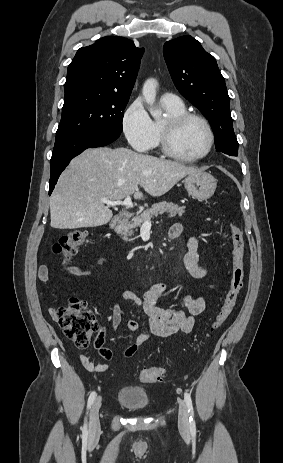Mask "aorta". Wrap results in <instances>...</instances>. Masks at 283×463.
I'll use <instances>...</instances> for the list:
<instances>
[{"instance_id":"aorta-1","label":"aorta","mask_w":283,"mask_h":463,"mask_svg":"<svg viewBox=\"0 0 283 463\" xmlns=\"http://www.w3.org/2000/svg\"><path fill=\"white\" fill-rule=\"evenodd\" d=\"M158 86V82L156 79H148L145 81L142 89V94L144 97L145 102L149 106L148 110L151 116L157 120L161 117V112L153 107L155 100H156V89Z\"/></svg>"}]
</instances>
